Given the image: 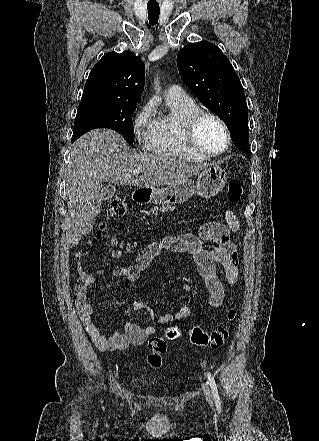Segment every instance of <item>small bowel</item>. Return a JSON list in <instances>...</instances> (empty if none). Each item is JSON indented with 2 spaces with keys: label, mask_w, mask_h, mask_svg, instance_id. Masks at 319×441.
<instances>
[{
  "label": "small bowel",
  "mask_w": 319,
  "mask_h": 441,
  "mask_svg": "<svg viewBox=\"0 0 319 441\" xmlns=\"http://www.w3.org/2000/svg\"><path fill=\"white\" fill-rule=\"evenodd\" d=\"M239 228V220L236 214L231 210L225 213V223L209 222L200 228L199 235L180 234L164 239L160 243H154L145 248L136 258L135 264L124 262L123 266L113 268L110 273L113 276L123 277L127 281L138 279L140 272L144 271L162 249H168L174 252L189 253L196 263L200 276L204 279L205 285L209 291L210 311L218 310L224 303L227 292L218 276V268L221 269L227 283L231 286L238 281V254L235 244L230 236ZM213 243L214 247L208 248L206 243ZM85 253L76 255L78 281L76 290V312L84 326L86 333L92 342L101 350H124L130 345L140 346L145 343L147 338L156 332L153 326H138L127 322L124 331H115L111 335H104L98 328L93 317L94 309L89 301L87 291L89 288L96 287L99 276L106 273L105 269L99 271L96 275L87 273L82 261ZM113 257L119 258L118 252L113 253ZM183 290L189 292L192 285L185 283ZM135 310H144L152 316L151 309L141 301L133 303ZM192 316V310L182 305L175 314H164L158 317L159 323H170L175 320L188 319Z\"/></svg>",
  "instance_id": "small-bowel-1"
}]
</instances>
